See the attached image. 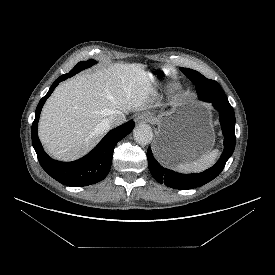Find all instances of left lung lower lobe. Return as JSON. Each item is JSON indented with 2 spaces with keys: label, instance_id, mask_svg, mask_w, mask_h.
<instances>
[{
  "label": "left lung lower lobe",
  "instance_id": "left-lung-lower-lobe-1",
  "mask_svg": "<svg viewBox=\"0 0 275 275\" xmlns=\"http://www.w3.org/2000/svg\"><path fill=\"white\" fill-rule=\"evenodd\" d=\"M192 82H197L193 77H190ZM201 86L214 90L213 81L204 79ZM200 81V80H198ZM201 82V81H200ZM199 97V96H198ZM201 100L210 102L214 108L218 110L220 115V123L222 132L224 135V150L217 161V163L211 168L198 174H180L175 171L163 168L153 157L151 149L147 150V159L149 170L154 179L160 184H165L167 187H171L179 190L193 189L202 186L214 178H216L223 170L227 160L233 154L235 148V114L228 99H224L218 95L199 97Z\"/></svg>",
  "mask_w": 275,
  "mask_h": 275
}]
</instances>
